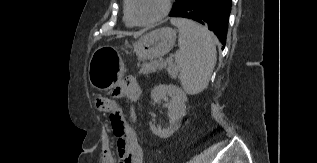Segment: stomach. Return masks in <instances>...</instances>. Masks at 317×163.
I'll use <instances>...</instances> for the list:
<instances>
[{"label": "stomach", "mask_w": 317, "mask_h": 163, "mask_svg": "<svg viewBox=\"0 0 317 163\" xmlns=\"http://www.w3.org/2000/svg\"><path fill=\"white\" fill-rule=\"evenodd\" d=\"M176 41V31L169 27L156 29L142 36L134 44L136 56L143 60H152L167 54ZM107 47H99L93 53L88 68L90 84L98 90H108L114 86L116 79L123 74L121 59L113 63L105 53Z\"/></svg>", "instance_id": "obj_1"}]
</instances>
